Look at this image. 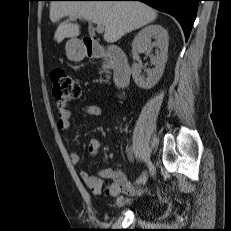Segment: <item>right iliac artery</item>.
Instances as JSON below:
<instances>
[{
  "label": "right iliac artery",
  "instance_id": "obj_1",
  "mask_svg": "<svg viewBox=\"0 0 231 231\" xmlns=\"http://www.w3.org/2000/svg\"><path fill=\"white\" fill-rule=\"evenodd\" d=\"M146 161V160H145ZM147 181V174H143L137 181V184H144Z\"/></svg>",
  "mask_w": 231,
  "mask_h": 231
}]
</instances>
